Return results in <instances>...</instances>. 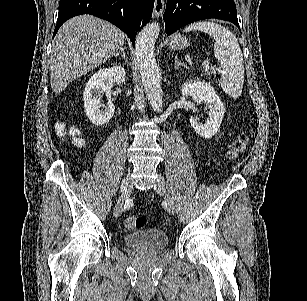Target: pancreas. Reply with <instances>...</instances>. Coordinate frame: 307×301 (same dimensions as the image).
Returning <instances> with one entry per match:
<instances>
[{
    "label": "pancreas",
    "mask_w": 307,
    "mask_h": 301,
    "mask_svg": "<svg viewBox=\"0 0 307 301\" xmlns=\"http://www.w3.org/2000/svg\"><path fill=\"white\" fill-rule=\"evenodd\" d=\"M205 74H211V72H205Z\"/></svg>",
    "instance_id": "cf45deb5"
}]
</instances>
